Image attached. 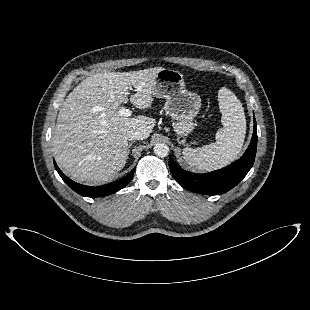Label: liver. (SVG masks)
I'll list each match as a JSON object with an SVG mask.
<instances>
[{
  "mask_svg": "<svg viewBox=\"0 0 310 310\" xmlns=\"http://www.w3.org/2000/svg\"><path fill=\"white\" fill-rule=\"evenodd\" d=\"M153 67L133 72L97 73L84 79L67 96L59 110L53 132L56 161L73 179L101 183L126 164L128 133L138 130L148 138L155 119L119 116L122 103L149 108L157 72ZM143 138V139H144Z\"/></svg>",
  "mask_w": 310,
  "mask_h": 310,
  "instance_id": "6515ba94",
  "label": "liver"
}]
</instances>
